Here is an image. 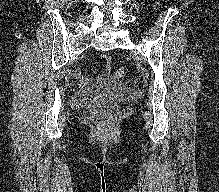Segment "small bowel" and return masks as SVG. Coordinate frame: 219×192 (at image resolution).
I'll list each match as a JSON object with an SVG mask.
<instances>
[{
	"label": "small bowel",
	"mask_w": 219,
	"mask_h": 192,
	"mask_svg": "<svg viewBox=\"0 0 219 192\" xmlns=\"http://www.w3.org/2000/svg\"><path fill=\"white\" fill-rule=\"evenodd\" d=\"M107 70H108V68L105 69V71H107ZM78 76H80V72L78 73Z\"/></svg>",
	"instance_id": "1"
}]
</instances>
